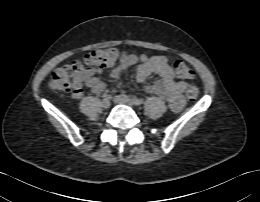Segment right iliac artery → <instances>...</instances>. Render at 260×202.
<instances>
[{"label":"right iliac artery","mask_w":260,"mask_h":202,"mask_svg":"<svg viewBox=\"0 0 260 202\" xmlns=\"http://www.w3.org/2000/svg\"><path fill=\"white\" fill-rule=\"evenodd\" d=\"M103 97H104L105 99H110V98H111V96L108 95V94H104Z\"/></svg>","instance_id":"1"}]
</instances>
